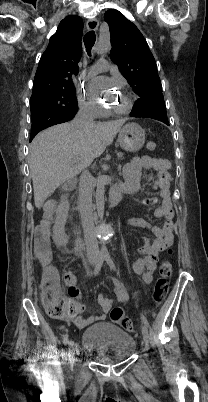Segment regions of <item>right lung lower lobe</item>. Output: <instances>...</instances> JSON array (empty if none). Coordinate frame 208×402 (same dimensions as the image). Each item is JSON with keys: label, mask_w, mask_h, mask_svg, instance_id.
<instances>
[{"label": "right lung lower lobe", "mask_w": 208, "mask_h": 402, "mask_svg": "<svg viewBox=\"0 0 208 402\" xmlns=\"http://www.w3.org/2000/svg\"><path fill=\"white\" fill-rule=\"evenodd\" d=\"M77 112V111H76ZM75 113L73 114H65L62 116H54V115H46V116H38L32 119V127H31V136L30 142L35 137V135L41 130L50 127L55 124H60L67 122L74 118Z\"/></svg>", "instance_id": "obj_1"}]
</instances>
